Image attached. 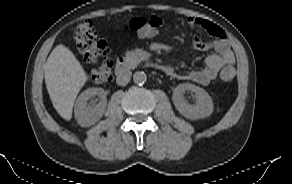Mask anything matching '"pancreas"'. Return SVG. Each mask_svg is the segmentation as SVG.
<instances>
[{
	"label": "pancreas",
	"mask_w": 292,
	"mask_h": 184,
	"mask_svg": "<svg viewBox=\"0 0 292 184\" xmlns=\"http://www.w3.org/2000/svg\"><path fill=\"white\" fill-rule=\"evenodd\" d=\"M126 59L128 60L129 64H136L139 61V58L135 52H126Z\"/></svg>",
	"instance_id": "pancreas-1"
}]
</instances>
